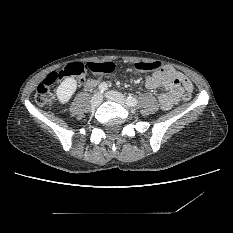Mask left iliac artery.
<instances>
[{
	"mask_svg": "<svg viewBox=\"0 0 233 233\" xmlns=\"http://www.w3.org/2000/svg\"><path fill=\"white\" fill-rule=\"evenodd\" d=\"M126 103H127V105H129V106H135V105H137L138 100H137L136 98L130 96V97H128V98L126 99Z\"/></svg>",
	"mask_w": 233,
	"mask_h": 233,
	"instance_id": "left-iliac-artery-1",
	"label": "left iliac artery"
}]
</instances>
